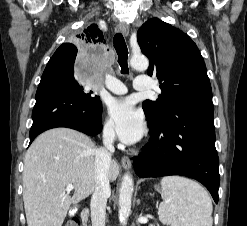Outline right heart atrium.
Listing matches in <instances>:
<instances>
[{
	"label": "right heart atrium",
	"mask_w": 247,
	"mask_h": 226,
	"mask_svg": "<svg viewBox=\"0 0 247 226\" xmlns=\"http://www.w3.org/2000/svg\"><path fill=\"white\" fill-rule=\"evenodd\" d=\"M102 133L105 139L112 140L115 137V130L110 120H105L102 124Z\"/></svg>",
	"instance_id": "d8ad5b80"
}]
</instances>
